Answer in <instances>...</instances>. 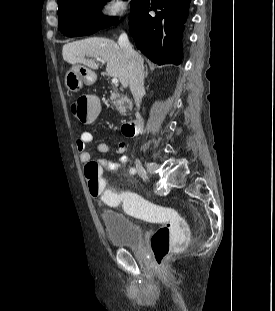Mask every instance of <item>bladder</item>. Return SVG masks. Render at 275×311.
Here are the masks:
<instances>
[{
    "label": "bladder",
    "instance_id": "1",
    "mask_svg": "<svg viewBox=\"0 0 275 311\" xmlns=\"http://www.w3.org/2000/svg\"><path fill=\"white\" fill-rule=\"evenodd\" d=\"M100 219L109 242L116 248L138 249L143 243V230L126 214L115 209H105Z\"/></svg>",
    "mask_w": 275,
    "mask_h": 311
}]
</instances>
